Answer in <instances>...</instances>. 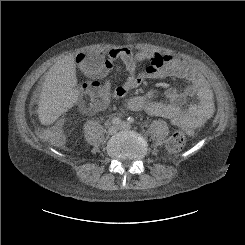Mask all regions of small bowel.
<instances>
[{"instance_id":"obj_1","label":"small bowel","mask_w":245,"mask_h":245,"mask_svg":"<svg viewBox=\"0 0 245 245\" xmlns=\"http://www.w3.org/2000/svg\"><path fill=\"white\" fill-rule=\"evenodd\" d=\"M109 58H121L127 71L126 79L108 93H99L90 85L85 88L86 101L79 105L82 112L94 114L105 109L113 98L125 97L131 90L144 86L149 80L164 78H183L190 82L184 88H170L165 92L169 103H163L153 95L145 94L131 98L127 105L132 111L145 112L149 115H160L167 118L174 126L192 133L211 117L213 111V94L205 78L186 61L177 55L140 50L133 52L127 46L112 48ZM147 61L143 70H138V64ZM112 61L106 59L97 69L98 76L110 71ZM70 76L72 69H67ZM195 96L198 101L188 107L183 103L186 98Z\"/></svg>"}]
</instances>
